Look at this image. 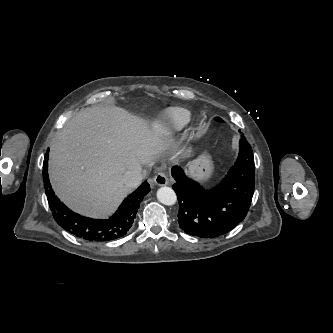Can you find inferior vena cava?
Masks as SVG:
<instances>
[{"label": "inferior vena cava", "mask_w": 333, "mask_h": 333, "mask_svg": "<svg viewBox=\"0 0 333 333\" xmlns=\"http://www.w3.org/2000/svg\"><path fill=\"white\" fill-rule=\"evenodd\" d=\"M143 179L142 168L140 165H134L130 170H127L123 175L124 184L129 188L137 187Z\"/></svg>", "instance_id": "602c4592"}]
</instances>
